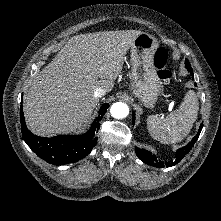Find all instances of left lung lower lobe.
Here are the masks:
<instances>
[{"label":"left lung lower lobe","instance_id":"obj_1","mask_svg":"<svg viewBox=\"0 0 221 221\" xmlns=\"http://www.w3.org/2000/svg\"><path fill=\"white\" fill-rule=\"evenodd\" d=\"M186 67H187L188 71L191 73V75L193 76V73H192L193 71H192V68L190 67V63L188 65H186ZM134 122H135V115L133 113V124H134ZM202 127H203V124L200 125L197 135L191 140V142L189 144H187L186 146L177 150L176 156L173 160L165 161V163H162V162L158 161L157 157L155 155H153L151 152L144 150V149H140L138 147H135L136 155L144 163H146L150 166H154V167H164V165L167 167L174 166L177 163H179L185 157V155L192 149L193 145L195 144L196 140L199 137Z\"/></svg>","mask_w":221,"mask_h":221}]
</instances>
